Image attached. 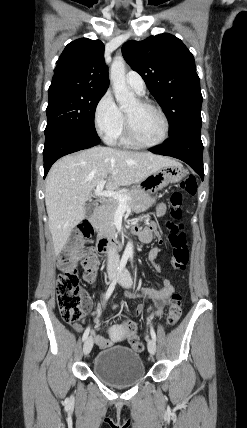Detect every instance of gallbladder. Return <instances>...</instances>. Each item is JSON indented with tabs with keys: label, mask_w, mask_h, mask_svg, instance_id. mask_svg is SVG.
<instances>
[{
	"label": "gallbladder",
	"mask_w": 247,
	"mask_h": 428,
	"mask_svg": "<svg viewBox=\"0 0 247 428\" xmlns=\"http://www.w3.org/2000/svg\"><path fill=\"white\" fill-rule=\"evenodd\" d=\"M94 208H95V206H94V204H93V203H87V204L85 205V211H86V216H87V217L92 216V214H93V212H94Z\"/></svg>",
	"instance_id": "1"
}]
</instances>
